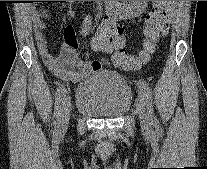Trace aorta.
<instances>
[{"instance_id": "aorta-1", "label": "aorta", "mask_w": 207, "mask_h": 169, "mask_svg": "<svg viewBox=\"0 0 207 169\" xmlns=\"http://www.w3.org/2000/svg\"><path fill=\"white\" fill-rule=\"evenodd\" d=\"M132 2V1H131ZM109 9L111 12L128 13L131 7L130 1H109Z\"/></svg>"}]
</instances>
